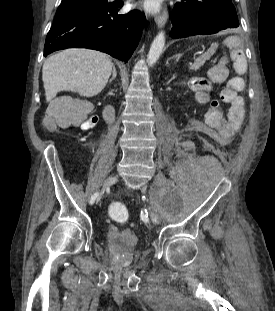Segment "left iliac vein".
<instances>
[{"instance_id": "left-iliac-vein-1", "label": "left iliac vein", "mask_w": 275, "mask_h": 311, "mask_svg": "<svg viewBox=\"0 0 275 311\" xmlns=\"http://www.w3.org/2000/svg\"><path fill=\"white\" fill-rule=\"evenodd\" d=\"M150 218H151V220H152V222L154 224H158L159 223V217H158V215L155 212L150 211Z\"/></svg>"}]
</instances>
